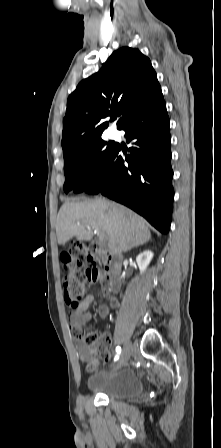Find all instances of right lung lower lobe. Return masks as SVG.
Instances as JSON below:
<instances>
[{
	"label": "right lung lower lobe",
	"mask_w": 221,
	"mask_h": 448,
	"mask_svg": "<svg viewBox=\"0 0 221 448\" xmlns=\"http://www.w3.org/2000/svg\"><path fill=\"white\" fill-rule=\"evenodd\" d=\"M120 130L125 131L127 143H132L129 154L117 146L106 168L84 191L101 193L130 207L166 234L174 191L169 118L163 95L131 114Z\"/></svg>",
	"instance_id": "98d812e1"
}]
</instances>
